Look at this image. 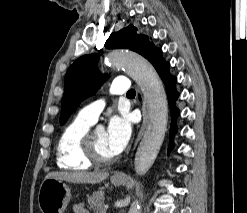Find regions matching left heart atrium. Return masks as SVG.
<instances>
[{"instance_id":"39dd6f15","label":"left heart atrium","mask_w":247,"mask_h":213,"mask_svg":"<svg viewBox=\"0 0 247 213\" xmlns=\"http://www.w3.org/2000/svg\"><path fill=\"white\" fill-rule=\"evenodd\" d=\"M131 124L126 116H113L108 123L106 142L110 152L120 154L129 142Z\"/></svg>"}]
</instances>
